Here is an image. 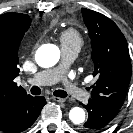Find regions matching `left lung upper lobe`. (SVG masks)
Listing matches in <instances>:
<instances>
[{"label": "left lung upper lobe", "instance_id": "5c2ea615", "mask_svg": "<svg viewBox=\"0 0 133 133\" xmlns=\"http://www.w3.org/2000/svg\"><path fill=\"white\" fill-rule=\"evenodd\" d=\"M88 28L94 63L91 99L120 109L131 78L128 45L117 25L101 13L81 9Z\"/></svg>", "mask_w": 133, "mask_h": 133}]
</instances>
